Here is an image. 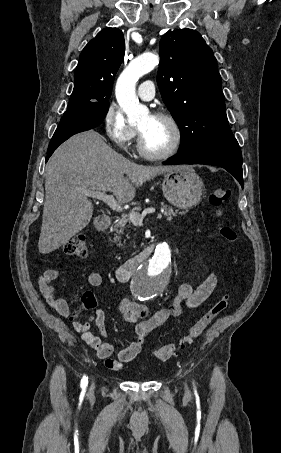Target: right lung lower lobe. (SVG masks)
Instances as JSON below:
<instances>
[{
	"mask_svg": "<svg viewBox=\"0 0 281 453\" xmlns=\"http://www.w3.org/2000/svg\"><path fill=\"white\" fill-rule=\"evenodd\" d=\"M107 104H80L67 107L49 143L46 162L54 150L72 135L98 126L107 114Z\"/></svg>",
	"mask_w": 281,
	"mask_h": 453,
	"instance_id": "98d812e1",
	"label": "right lung lower lobe"
}]
</instances>
